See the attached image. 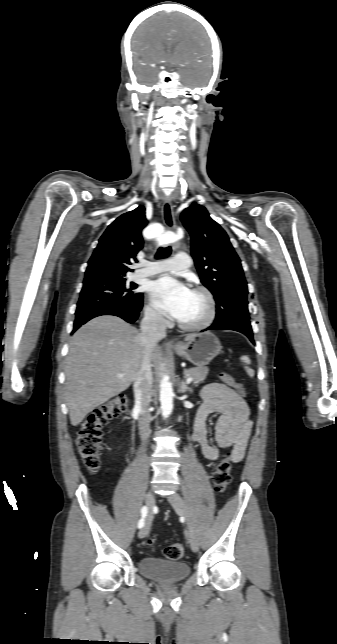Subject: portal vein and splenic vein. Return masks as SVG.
Instances as JSON below:
<instances>
[{
	"label": "portal vein and splenic vein",
	"instance_id": "obj_1",
	"mask_svg": "<svg viewBox=\"0 0 337 644\" xmlns=\"http://www.w3.org/2000/svg\"><path fill=\"white\" fill-rule=\"evenodd\" d=\"M117 377L122 378V377H124V374H118V375H117ZM192 381H193V378H192V377H188V378L186 379V383H187V384L191 383Z\"/></svg>",
	"mask_w": 337,
	"mask_h": 644
}]
</instances>
